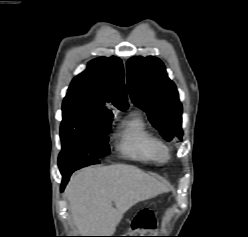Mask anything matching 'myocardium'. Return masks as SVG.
<instances>
[{
  "label": "myocardium",
  "mask_w": 248,
  "mask_h": 237,
  "mask_svg": "<svg viewBox=\"0 0 248 237\" xmlns=\"http://www.w3.org/2000/svg\"><path fill=\"white\" fill-rule=\"evenodd\" d=\"M151 154L155 162L165 164L171 158V152L166 142L159 138H154L151 145Z\"/></svg>",
  "instance_id": "f54148a6"
}]
</instances>
